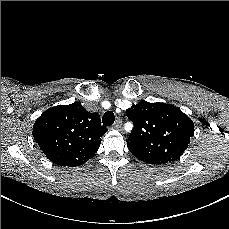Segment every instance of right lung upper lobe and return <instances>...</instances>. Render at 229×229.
Wrapping results in <instances>:
<instances>
[{
  "mask_svg": "<svg viewBox=\"0 0 229 229\" xmlns=\"http://www.w3.org/2000/svg\"><path fill=\"white\" fill-rule=\"evenodd\" d=\"M107 131L99 114L90 113L81 103L74 102L46 110L35 121L32 134L50 161L76 167L93 157Z\"/></svg>",
  "mask_w": 229,
  "mask_h": 229,
  "instance_id": "1",
  "label": "right lung upper lobe"
}]
</instances>
